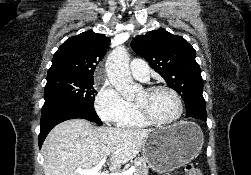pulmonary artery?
I'll list each match as a JSON object with an SVG mask.
<instances>
[{
  "mask_svg": "<svg viewBox=\"0 0 251 175\" xmlns=\"http://www.w3.org/2000/svg\"><path fill=\"white\" fill-rule=\"evenodd\" d=\"M148 62H143V58H137V62H131L130 72L132 76L140 81H147L150 78Z\"/></svg>",
  "mask_w": 251,
  "mask_h": 175,
  "instance_id": "e3ab8cb5",
  "label": "pulmonary artery"
}]
</instances>
